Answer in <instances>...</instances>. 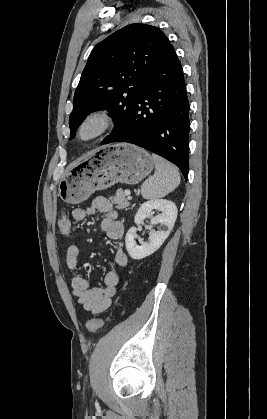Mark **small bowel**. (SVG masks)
<instances>
[{"label": "small bowel", "instance_id": "obj_1", "mask_svg": "<svg viewBox=\"0 0 267 419\" xmlns=\"http://www.w3.org/2000/svg\"><path fill=\"white\" fill-rule=\"evenodd\" d=\"M95 214L104 215L101 220V228L109 240L115 243L114 262L120 267H127L128 258L123 251L122 244L119 242L124 234V226L117 220L116 212L108 199L105 197H96L88 208H77L72 211L71 216L73 221L78 222ZM64 261L72 273V292L76 296L79 304L93 314L102 313L109 308L119 283L118 273L115 270L108 271L104 276V287L91 288L88 280L78 273L79 249L76 245H70L67 248Z\"/></svg>", "mask_w": 267, "mask_h": 419}]
</instances>
